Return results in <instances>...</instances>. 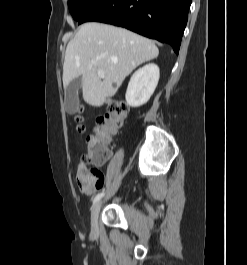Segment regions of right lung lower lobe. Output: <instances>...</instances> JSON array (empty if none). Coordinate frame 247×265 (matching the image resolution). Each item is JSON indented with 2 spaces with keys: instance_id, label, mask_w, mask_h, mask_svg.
<instances>
[{
  "instance_id": "right-lung-lower-lobe-1",
  "label": "right lung lower lobe",
  "mask_w": 247,
  "mask_h": 265,
  "mask_svg": "<svg viewBox=\"0 0 247 265\" xmlns=\"http://www.w3.org/2000/svg\"><path fill=\"white\" fill-rule=\"evenodd\" d=\"M192 0H98L79 20L125 27L165 42L178 54Z\"/></svg>"
}]
</instances>
